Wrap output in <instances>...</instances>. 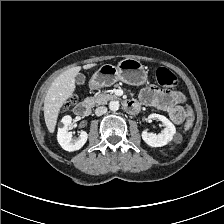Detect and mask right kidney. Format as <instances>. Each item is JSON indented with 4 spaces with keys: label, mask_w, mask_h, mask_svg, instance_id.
Wrapping results in <instances>:
<instances>
[{
    "label": "right kidney",
    "mask_w": 224,
    "mask_h": 224,
    "mask_svg": "<svg viewBox=\"0 0 224 224\" xmlns=\"http://www.w3.org/2000/svg\"><path fill=\"white\" fill-rule=\"evenodd\" d=\"M61 123L63 127H60L57 132V140L60 146L69 152L79 150L86 143L88 134L85 131L80 132L78 139H72V133L68 132L67 128L72 123V117L66 115L62 118Z\"/></svg>",
    "instance_id": "obj_1"
}]
</instances>
